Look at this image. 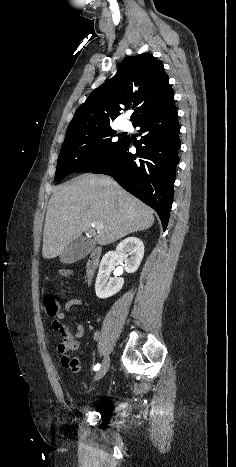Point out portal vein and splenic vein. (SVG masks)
I'll use <instances>...</instances> for the list:
<instances>
[{
	"instance_id": "18ae733b",
	"label": "portal vein and splenic vein",
	"mask_w": 236,
	"mask_h": 467,
	"mask_svg": "<svg viewBox=\"0 0 236 467\" xmlns=\"http://www.w3.org/2000/svg\"><path fill=\"white\" fill-rule=\"evenodd\" d=\"M97 228H98V229H102V228H103V225H102V224H98V225H97Z\"/></svg>"
}]
</instances>
